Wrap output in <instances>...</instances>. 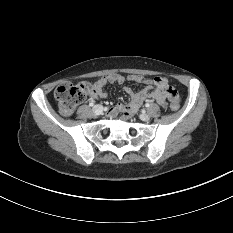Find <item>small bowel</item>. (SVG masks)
Segmentation results:
<instances>
[{"label": "small bowel", "mask_w": 233, "mask_h": 233, "mask_svg": "<svg viewBox=\"0 0 233 233\" xmlns=\"http://www.w3.org/2000/svg\"><path fill=\"white\" fill-rule=\"evenodd\" d=\"M125 80L136 83H144L146 84V87L139 92H135L130 87H125L124 91L130 97V101L127 104H117L114 108L110 109V115L121 111L123 112L125 118H130L138 111L142 103L147 99H154L162 107H166V99H171L172 93L175 91L162 77H155L154 79L149 80L145 79L141 75L132 74L125 78L120 74L113 73L101 77L94 82L92 86L91 99L105 98L107 95L105 87L108 83L122 84L125 82Z\"/></svg>", "instance_id": "c3829d8e"}]
</instances>
